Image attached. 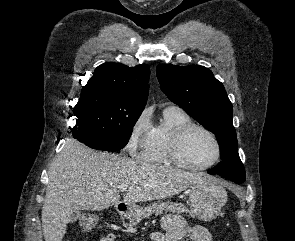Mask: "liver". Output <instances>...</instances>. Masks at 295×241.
<instances>
[{"instance_id": "1", "label": "liver", "mask_w": 295, "mask_h": 241, "mask_svg": "<svg viewBox=\"0 0 295 241\" xmlns=\"http://www.w3.org/2000/svg\"><path fill=\"white\" fill-rule=\"evenodd\" d=\"M42 207L45 241H62L74 211L103 210L120 203L118 187L128 185L123 202L161 200L208 182L203 174L98 153L69 139L48 170Z\"/></svg>"}]
</instances>
